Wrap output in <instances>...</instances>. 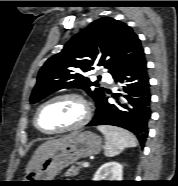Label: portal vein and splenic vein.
I'll list each match as a JSON object with an SVG mask.
<instances>
[{"label":"portal vein and splenic vein","instance_id":"18ae733b","mask_svg":"<svg viewBox=\"0 0 178 186\" xmlns=\"http://www.w3.org/2000/svg\"><path fill=\"white\" fill-rule=\"evenodd\" d=\"M82 166L85 167V168L89 167V162H84Z\"/></svg>","mask_w":178,"mask_h":186}]
</instances>
